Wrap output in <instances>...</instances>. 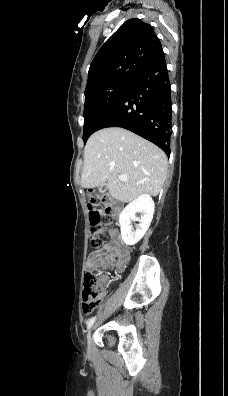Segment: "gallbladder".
Listing matches in <instances>:
<instances>
[{"label":"gallbladder","mask_w":228,"mask_h":396,"mask_svg":"<svg viewBox=\"0 0 228 396\" xmlns=\"http://www.w3.org/2000/svg\"><path fill=\"white\" fill-rule=\"evenodd\" d=\"M106 189V185L104 184V185H101V186H99V191H103V190H105Z\"/></svg>","instance_id":"bac80fb5"}]
</instances>
